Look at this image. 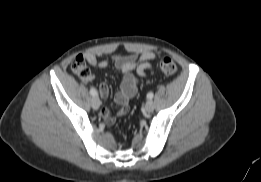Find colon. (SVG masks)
I'll use <instances>...</instances> for the list:
<instances>
[{"label": "colon", "instance_id": "5ec220e1", "mask_svg": "<svg viewBox=\"0 0 261 182\" xmlns=\"http://www.w3.org/2000/svg\"><path fill=\"white\" fill-rule=\"evenodd\" d=\"M158 65L160 70L166 75H174L177 72L175 62L169 57L162 58ZM71 70L82 81H88L92 78L91 70L81 56H77L73 60Z\"/></svg>", "mask_w": 261, "mask_h": 182}]
</instances>
